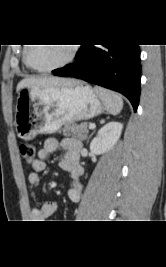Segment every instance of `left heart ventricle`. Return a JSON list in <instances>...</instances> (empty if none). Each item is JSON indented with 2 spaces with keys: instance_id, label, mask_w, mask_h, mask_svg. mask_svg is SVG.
I'll use <instances>...</instances> for the list:
<instances>
[{
  "instance_id": "obj_1",
  "label": "left heart ventricle",
  "mask_w": 166,
  "mask_h": 267,
  "mask_svg": "<svg viewBox=\"0 0 166 267\" xmlns=\"http://www.w3.org/2000/svg\"><path fill=\"white\" fill-rule=\"evenodd\" d=\"M69 54V46L33 45L29 49L28 59L37 68H48L64 61Z\"/></svg>"
}]
</instances>
